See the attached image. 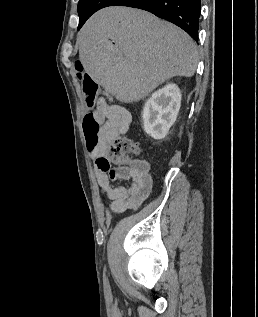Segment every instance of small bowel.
Wrapping results in <instances>:
<instances>
[{
    "instance_id": "1",
    "label": "small bowel",
    "mask_w": 258,
    "mask_h": 317,
    "mask_svg": "<svg viewBox=\"0 0 258 317\" xmlns=\"http://www.w3.org/2000/svg\"><path fill=\"white\" fill-rule=\"evenodd\" d=\"M96 110L103 114L106 127L104 142L90 151L95 161L96 179L101 193L112 201V213L135 211L146 201L152 190L150 163L145 159H127L125 162L112 160L107 155L108 144L128 131L132 117L125 108L111 105L104 99L98 100ZM112 164L116 166L112 167ZM117 180L129 181L130 185L113 186L112 183Z\"/></svg>"
}]
</instances>
